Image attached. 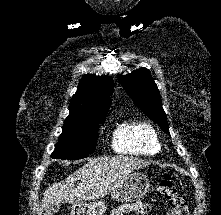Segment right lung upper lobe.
<instances>
[{"label": "right lung upper lobe", "instance_id": "obj_1", "mask_svg": "<svg viewBox=\"0 0 221 215\" xmlns=\"http://www.w3.org/2000/svg\"><path fill=\"white\" fill-rule=\"evenodd\" d=\"M113 89L114 81L110 76H84L72 96L69 116L104 118L111 105L110 94Z\"/></svg>", "mask_w": 221, "mask_h": 215}]
</instances>
